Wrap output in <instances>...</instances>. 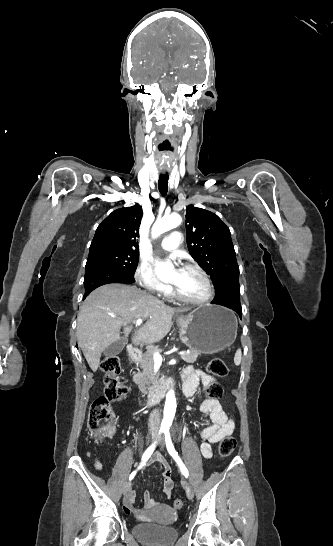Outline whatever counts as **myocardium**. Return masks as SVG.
<instances>
[{
  "mask_svg": "<svg viewBox=\"0 0 333 546\" xmlns=\"http://www.w3.org/2000/svg\"><path fill=\"white\" fill-rule=\"evenodd\" d=\"M185 270L195 271L202 277V279L204 280V282H205V284L207 286V294L203 298L192 299V298H188V297L183 296L177 290V288H174L173 289V295L175 296V298H177L178 300H180L182 302H185V303H188V304H193V305H203V304L208 303L214 297V294H215L214 285H213L210 277L208 276V274L205 272V270L202 267H200L199 265H196V264L186 265Z\"/></svg>",
  "mask_w": 333,
  "mask_h": 546,
  "instance_id": "1",
  "label": "myocardium"
}]
</instances>
